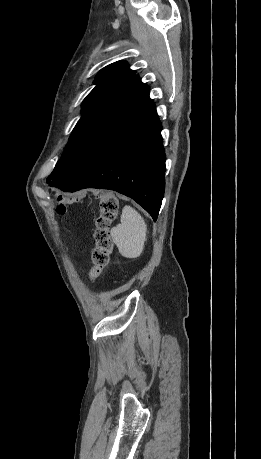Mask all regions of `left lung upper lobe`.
<instances>
[{
  "instance_id": "5c2ea615",
  "label": "left lung upper lobe",
  "mask_w": 261,
  "mask_h": 459,
  "mask_svg": "<svg viewBox=\"0 0 261 459\" xmlns=\"http://www.w3.org/2000/svg\"><path fill=\"white\" fill-rule=\"evenodd\" d=\"M95 84L82 103V117L61 159L47 178L52 187L89 161L149 99V87L124 61L104 67Z\"/></svg>"
}]
</instances>
